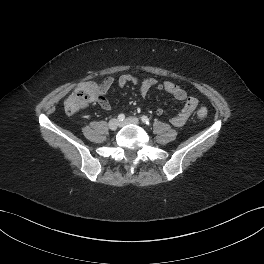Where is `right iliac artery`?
Masks as SVG:
<instances>
[{
  "label": "right iliac artery",
  "instance_id": "obj_1",
  "mask_svg": "<svg viewBox=\"0 0 264 264\" xmlns=\"http://www.w3.org/2000/svg\"><path fill=\"white\" fill-rule=\"evenodd\" d=\"M125 119V115L124 114H119L118 115V120L119 121H123Z\"/></svg>",
  "mask_w": 264,
  "mask_h": 264
}]
</instances>
